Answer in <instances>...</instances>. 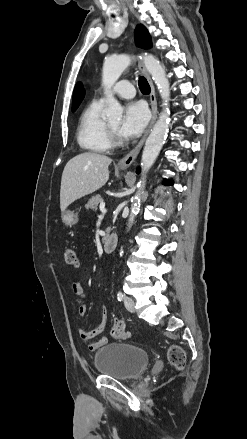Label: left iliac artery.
Here are the masks:
<instances>
[{"label": "left iliac artery", "instance_id": "left-iliac-artery-1", "mask_svg": "<svg viewBox=\"0 0 247 439\" xmlns=\"http://www.w3.org/2000/svg\"><path fill=\"white\" fill-rule=\"evenodd\" d=\"M123 298H124L123 293H122V292H118V293H117V299H118V301H122Z\"/></svg>", "mask_w": 247, "mask_h": 439}]
</instances>
